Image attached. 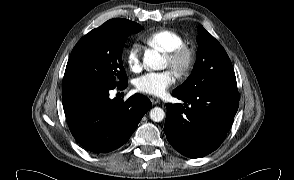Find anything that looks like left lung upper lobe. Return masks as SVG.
<instances>
[{
    "instance_id": "1",
    "label": "left lung upper lobe",
    "mask_w": 294,
    "mask_h": 180,
    "mask_svg": "<svg viewBox=\"0 0 294 180\" xmlns=\"http://www.w3.org/2000/svg\"><path fill=\"white\" fill-rule=\"evenodd\" d=\"M198 32L197 62L192 74L175 90L180 93L211 90L238 92L234 69L226 51L202 26Z\"/></svg>"
}]
</instances>
